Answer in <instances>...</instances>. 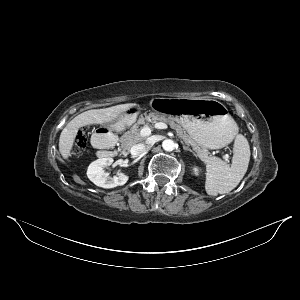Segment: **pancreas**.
<instances>
[{
    "mask_svg": "<svg viewBox=\"0 0 300 300\" xmlns=\"http://www.w3.org/2000/svg\"><path fill=\"white\" fill-rule=\"evenodd\" d=\"M158 121L167 123L172 129L176 131V134L182 138L187 144L191 145L193 149L196 151L197 155L203 162H208L212 156L210 155V152L205 148L200 146L197 142H195L185 131L184 129L177 124L174 120L169 119L165 116H151L148 115L144 118H141L137 124L133 125L130 129V131H127L123 134V136L120 138V149L125 152L126 150H129L133 145L143 142L146 138L141 135V129L139 125L144 124V126H150L148 122H152L153 124L157 123Z\"/></svg>",
    "mask_w": 300,
    "mask_h": 300,
    "instance_id": "cf45deb5",
    "label": "pancreas"
}]
</instances>
